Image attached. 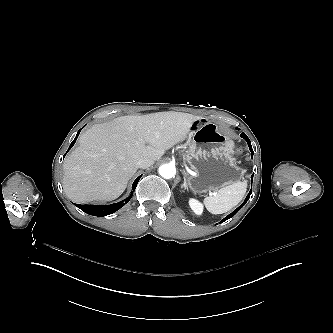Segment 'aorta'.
<instances>
[{"label":"aorta","instance_id":"1","mask_svg":"<svg viewBox=\"0 0 333 333\" xmlns=\"http://www.w3.org/2000/svg\"><path fill=\"white\" fill-rule=\"evenodd\" d=\"M159 174L165 178V179H170L175 176L176 174V169L175 166L171 164H164L159 167Z\"/></svg>","mask_w":333,"mask_h":333}]
</instances>
